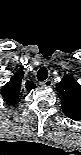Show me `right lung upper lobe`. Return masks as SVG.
<instances>
[{"mask_svg": "<svg viewBox=\"0 0 81 155\" xmlns=\"http://www.w3.org/2000/svg\"><path fill=\"white\" fill-rule=\"evenodd\" d=\"M24 77V71L19 69L10 79V81L1 88V95L9 105L17 104L20 99V89L23 87L24 89L31 90L36 88L34 83L29 81L23 82L22 79Z\"/></svg>", "mask_w": 81, "mask_h": 155, "instance_id": "1", "label": "right lung upper lobe"}]
</instances>
